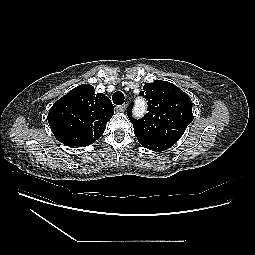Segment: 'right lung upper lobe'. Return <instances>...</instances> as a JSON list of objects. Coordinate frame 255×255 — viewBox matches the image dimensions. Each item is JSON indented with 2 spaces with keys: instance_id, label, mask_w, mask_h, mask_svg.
<instances>
[{
  "instance_id": "right-lung-upper-lobe-1",
  "label": "right lung upper lobe",
  "mask_w": 255,
  "mask_h": 255,
  "mask_svg": "<svg viewBox=\"0 0 255 255\" xmlns=\"http://www.w3.org/2000/svg\"><path fill=\"white\" fill-rule=\"evenodd\" d=\"M114 114L110 99L82 84L51 107L48 122L56 139L70 147L88 146L104 132Z\"/></svg>"
}]
</instances>
